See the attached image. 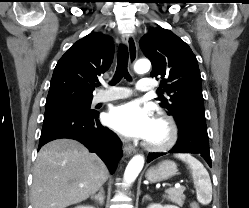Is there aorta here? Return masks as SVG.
I'll return each mask as SVG.
<instances>
[{
	"instance_id": "aorta-1",
	"label": "aorta",
	"mask_w": 249,
	"mask_h": 208,
	"mask_svg": "<svg viewBox=\"0 0 249 208\" xmlns=\"http://www.w3.org/2000/svg\"><path fill=\"white\" fill-rule=\"evenodd\" d=\"M151 63L147 59H140L134 65L136 73L142 74L149 71ZM144 166V156L135 155L128 163L124 172V182L127 185H131Z\"/></svg>"
}]
</instances>
